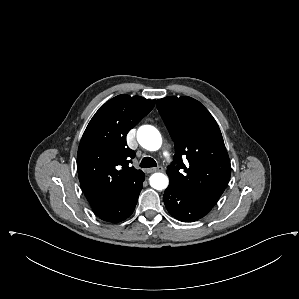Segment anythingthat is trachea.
Segmentation results:
<instances>
[{
	"label": "trachea",
	"mask_w": 299,
	"mask_h": 299,
	"mask_svg": "<svg viewBox=\"0 0 299 299\" xmlns=\"http://www.w3.org/2000/svg\"><path fill=\"white\" fill-rule=\"evenodd\" d=\"M157 163L156 161L151 157H144L140 162L141 168H150V167H156Z\"/></svg>",
	"instance_id": "obj_1"
}]
</instances>
